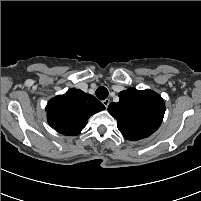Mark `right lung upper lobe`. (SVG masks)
Instances as JSON below:
<instances>
[{
    "label": "right lung upper lobe",
    "mask_w": 201,
    "mask_h": 201,
    "mask_svg": "<svg viewBox=\"0 0 201 201\" xmlns=\"http://www.w3.org/2000/svg\"><path fill=\"white\" fill-rule=\"evenodd\" d=\"M104 109L99 100L79 89H69L52 98L46 106L49 125L67 136L78 135L89 117Z\"/></svg>",
    "instance_id": "1"
}]
</instances>
